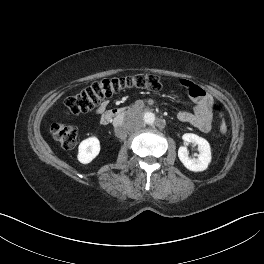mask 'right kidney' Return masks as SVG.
Returning a JSON list of instances; mask_svg holds the SVG:
<instances>
[{"label":"right kidney","mask_w":264,"mask_h":264,"mask_svg":"<svg viewBox=\"0 0 264 264\" xmlns=\"http://www.w3.org/2000/svg\"><path fill=\"white\" fill-rule=\"evenodd\" d=\"M100 152V141L97 137L83 140L78 147V161L82 164L90 163Z\"/></svg>","instance_id":"ca27d5eb"}]
</instances>
